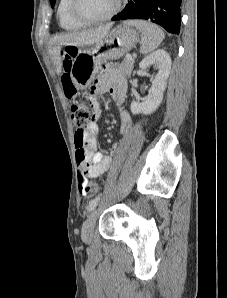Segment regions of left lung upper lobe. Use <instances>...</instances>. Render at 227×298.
Instances as JSON below:
<instances>
[{"mask_svg": "<svg viewBox=\"0 0 227 298\" xmlns=\"http://www.w3.org/2000/svg\"><path fill=\"white\" fill-rule=\"evenodd\" d=\"M56 0H50L51 6L53 7L55 5Z\"/></svg>", "mask_w": 227, "mask_h": 298, "instance_id": "left-lung-upper-lobe-1", "label": "left lung upper lobe"}]
</instances>
